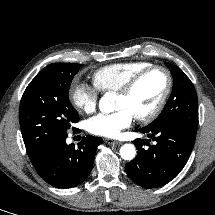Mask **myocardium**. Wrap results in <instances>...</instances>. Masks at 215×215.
I'll return each mask as SVG.
<instances>
[{"instance_id": "1", "label": "myocardium", "mask_w": 215, "mask_h": 215, "mask_svg": "<svg viewBox=\"0 0 215 215\" xmlns=\"http://www.w3.org/2000/svg\"><path fill=\"white\" fill-rule=\"evenodd\" d=\"M154 71H161L164 73L166 77V87L165 90L156 104V106L149 111L148 113L140 116H136L135 119L142 123H148L153 121L158 115L162 112L164 109L168 98L171 94L172 88H173V76L171 71L162 65H151L142 71L138 72L134 76H132L118 91L117 93L122 96H128L130 95L133 90L136 88V86L140 83L142 79H144L147 75Z\"/></svg>"}]
</instances>
